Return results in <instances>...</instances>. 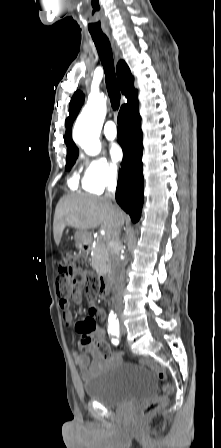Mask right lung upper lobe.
I'll return each mask as SVG.
<instances>
[{
  "mask_svg": "<svg viewBox=\"0 0 221 448\" xmlns=\"http://www.w3.org/2000/svg\"><path fill=\"white\" fill-rule=\"evenodd\" d=\"M117 78L121 91L128 100L127 104H124L121 107L124 108L137 100V90L134 89V78L124 61H120L117 65ZM83 101L84 95L80 91H77L70 101L69 116L65 121L66 134L64 138L67 145V155L78 153V148L71 138V127L81 108V105L83 104Z\"/></svg>",
  "mask_w": 221,
  "mask_h": 448,
  "instance_id": "cb5924a9",
  "label": "right lung upper lobe"
}]
</instances>
